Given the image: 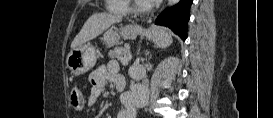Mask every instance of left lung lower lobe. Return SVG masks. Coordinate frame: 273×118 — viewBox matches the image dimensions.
I'll return each instance as SVG.
<instances>
[{"label":"left lung lower lobe","instance_id":"1","mask_svg":"<svg viewBox=\"0 0 273 118\" xmlns=\"http://www.w3.org/2000/svg\"><path fill=\"white\" fill-rule=\"evenodd\" d=\"M193 0H181L171 8L165 9L155 20V24L169 27L182 40L187 37V22Z\"/></svg>","mask_w":273,"mask_h":118}]
</instances>
